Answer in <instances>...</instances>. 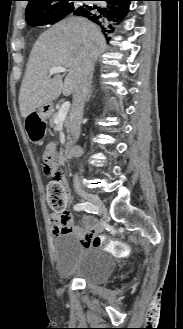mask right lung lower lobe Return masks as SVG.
Here are the masks:
<instances>
[{"label":"right lung lower lobe","mask_w":183,"mask_h":329,"mask_svg":"<svg viewBox=\"0 0 183 329\" xmlns=\"http://www.w3.org/2000/svg\"><path fill=\"white\" fill-rule=\"evenodd\" d=\"M93 1H105L106 5H83L82 7H79L73 11V14L86 17L87 19L98 24L101 26L103 33L107 35L114 31V27L112 26L111 22H119L123 19V17L129 11L130 1L132 0Z\"/></svg>","instance_id":"right-lung-lower-lobe-1"}]
</instances>
